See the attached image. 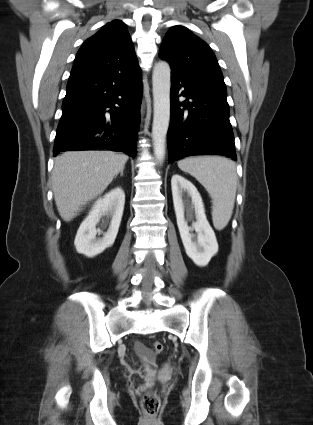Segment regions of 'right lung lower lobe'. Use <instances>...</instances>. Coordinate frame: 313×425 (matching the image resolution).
<instances>
[{"label": "right lung lower lobe", "instance_id": "98d812e1", "mask_svg": "<svg viewBox=\"0 0 313 425\" xmlns=\"http://www.w3.org/2000/svg\"><path fill=\"white\" fill-rule=\"evenodd\" d=\"M142 99L141 70L107 68L71 72L53 155L109 149L135 157Z\"/></svg>", "mask_w": 313, "mask_h": 425}]
</instances>
